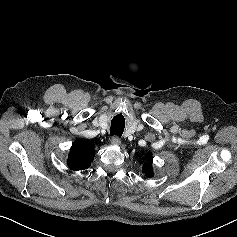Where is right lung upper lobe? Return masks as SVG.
Wrapping results in <instances>:
<instances>
[{
	"label": "right lung upper lobe",
	"mask_w": 237,
	"mask_h": 237,
	"mask_svg": "<svg viewBox=\"0 0 237 237\" xmlns=\"http://www.w3.org/2000/svg\"><path fill=\"white\" fill-rule=\"evenodd\" d=\"M95 151L93 145L84 140H76L70 149L67 160L68 166L73 170H84L89 168Z\"/></svg>",
	"instance_id": "right-lung-upper-lobe-1"
}]
</instances>
